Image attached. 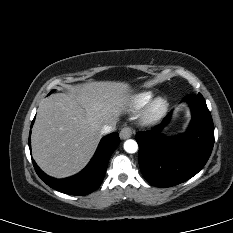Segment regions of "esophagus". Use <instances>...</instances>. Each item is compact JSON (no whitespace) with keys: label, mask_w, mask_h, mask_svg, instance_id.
<instances>
[{"label":"esophagus","mask_w":233,"mask_h":233,"mask_svg":"<svg viewBox=\"0 0 233 233\" xmlns=\"http://www.w3.org/2000/svg\"><path fill=\"white\" fill-rule=\"evenodd\" d=\"M133 134V129L131 127H123L120 131V138L121 139H128L132 136Z\"/></svg>","instance_id":"obj_1"}]
</instances>
